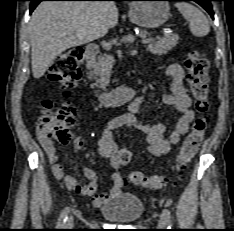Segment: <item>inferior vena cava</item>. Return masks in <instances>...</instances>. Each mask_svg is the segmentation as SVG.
<instances>
[{
  "instance_id": "602c4592",
  "label": "inferior vena cava",
  "mask_w": 234,
  "mask_h": 231,
  "mask_svg": "<svg viewBox=\"0 0 234 231\" xmlns=\"http://www.w3.org/2000/svg\"><path fill=\"white\" fill-rule=\"evenodd\" d=\"M103 28H104V31L107 32L108 28L105 26H103Z\"/></svg>"
}]
</instances>
